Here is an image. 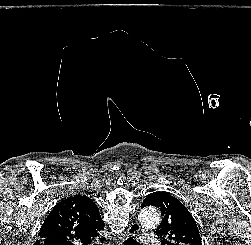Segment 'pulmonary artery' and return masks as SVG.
<instances>
[{
    "label": "pulmonary artery",
    "mask_w": 251,
    "mask_h": 245,
    "mask_svg": "<svg viewBox=\"0 0 251 245\" xmlns=\"http://www.w3.org/2000/svg\"><path fill=\"white\" fill-rule=\"evenodd\" d=\"M142 243L144 245H159L157 238L154 236H143Z\"/></svg>",
    "instance_id": "obj_1"
}]
</instances>
